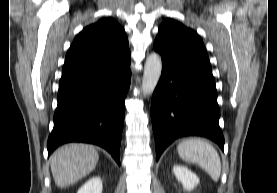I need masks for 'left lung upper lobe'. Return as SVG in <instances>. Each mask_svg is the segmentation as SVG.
Returning a JSON list of instances; mask_svg holds the SVG:
<instances>
[{
	"mask_svg": "<svg viewBox=\"0 0 277 193\" xmlns=\"http://www.w3.org/2000/svg\"><path fill=\"white\" fill-rule=\"evenodd\" d=\"M154 42L177 58L199 60L210 64L199 35L173 19L168 18L161 24Z\"/></svg>",
	"mask_w": 277,
	"mask_h": 193,
	"instance_id": "1",
	"label": "left lung upper lobe"
}]
</instances>
